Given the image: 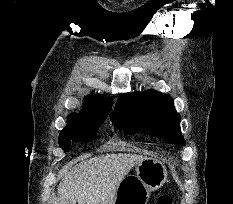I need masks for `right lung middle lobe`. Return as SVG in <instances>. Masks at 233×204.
<instances>
[{
  "mask_svg": "<svg viewBox=\"0 0 233 204\" xmlns=\"http://www.w3.org/2000/svg\"><path fill=\"white\" fill-rule=\"evenodd\" d=\"M106 117H96L79 121L64 128L59 136V144L68 151L70 140L86 142L95 139L96 132Z\"/></svg>",
  "mask_w": 233,
  "mask_h": 204,
  "instance_id": "dd1d6c3e",
  "label": "right lung middle lobe"
}]
</instances>
